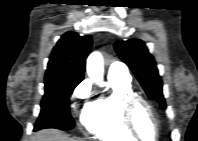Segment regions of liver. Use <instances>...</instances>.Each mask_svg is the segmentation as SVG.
Instances as JSON below:
<instances>
[{
  "instance_id": "1",
  "label": "liver",
  "mask_w": 198,
  "mask_h": 141,
  "mask_svg": "<svg viewBox=\"0 0 198 141\" xmlns=\"http://www.w3.org/2000/svg\"><path fill=\"white\" fill-rule=\"evenodd\" d=\"M34 141H76L59 130H42L35 134Z\"/></svg>"
}]
</instances>
